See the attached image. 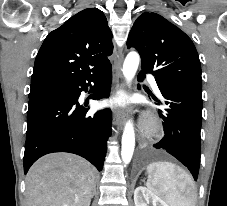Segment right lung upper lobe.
<instances>
[{
  "instance_id": "obj_1",
  "label": "right lung upper lobe",
  "mask_w": 227,
  "mask_h": 206,
  "mask_svg": "<svg viewBox=\"0 0 227 206\" xmlns=\"http://www.w3.org/2000/svg\"><path fill=\"white\" fill-rule=\"evenodd\" d=\"M113 51L112 33L97 8L80 11L45 38L35 59L31 83L70 82L101 73Z\"/></svg>"
}]
</instances>
